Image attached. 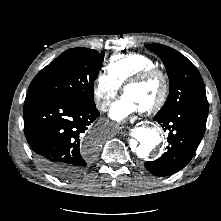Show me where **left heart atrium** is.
<instances>
[{
	"instance_id": "1",
	"label": "left heart atrium",
	"mask_w": 221,
	"mask_h": 221,
	"mask_svg": "<svg viewBox=\"0 0 221 221\" xmlns=\"http://www.w3.org/2000/svg\"><path fill=\"white\" fill-rule=\"evenodd\" d=\"M139 111L140 108L136 102L124 94L111 105L109 115L114 120L122 121Z\"/></svg>"
}]
</instances>
